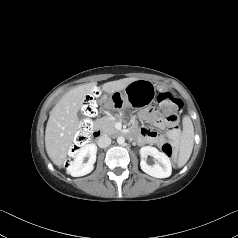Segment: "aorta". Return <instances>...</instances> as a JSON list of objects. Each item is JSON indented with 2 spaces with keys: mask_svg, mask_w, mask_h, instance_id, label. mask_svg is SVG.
Listing matches in <instances>:
<instances>
[{
  "mask_svg": "<svg viewBox=\"0 0 238 238\" xmlns=\"http://www.w3.org/2000/svg\"><path fill=\"white\" fill-rule=\"evenodd\" d=\"M117 143L120 144V145L124 144V143H125V138L122 137V136H119V137L117 138Z\"/></svg>",
  "mask_w": 238,
  "mask_h": 238,
  "instance_id": "1",
  "label": "aorta"
}]
</instances>
